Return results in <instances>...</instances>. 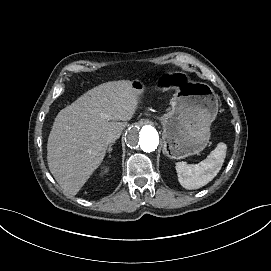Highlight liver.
Here are the masks:
<instances>
[{"label":"liver","instance_id":"liver-1","mask_svg":"<svg viewBox=\"0 0 271 271\" xmlns=\"http://www.w3.org/2000/svg\"><path fill=\"white\" fill-rule=\"evenodd\" d=\"M143 96L130 81L110 82L58 113L47 156L50 172L64 191L75 196L81 190L102 164L109 136L125 128Z\"/></svg>","mask_w":271,"mask_h":271}]
</instances>
